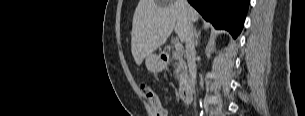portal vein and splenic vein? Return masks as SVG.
<instances>
[{
    "mask_svg": "<svg viewBox=\"0 0 305 116\" xmlns=\"http://www.w3.org/2000/svg\"><path fill=\"white\" fill-rule=\"evenodd\" d=\"M182 47L181 43L179 42L178 39L175 41V49H180Z\"/></svg>",
    "mask_w": 305,
    "mask_h": 116,
    "instance_id": "1",
    "label": "portal vein and splenic vein"
}]
</instances>
